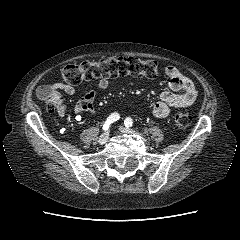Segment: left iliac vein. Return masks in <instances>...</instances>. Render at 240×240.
<instances>
[{
  "label": "left iliac vein",
  "instance_id": "1",
  "mask_svg": "<svg viewBox=\"0 0 240 240\" xmlns=\"http://www.w3.org/2000/svg\"><path fill=\"white\" fill-rule=\"evenodd\" d=\"M119 130H120L122 133H127V134L135 133V131H133L132 129L127 128V127H125V126H119Z\"/></svg>",
  "mask_w": 240,
  "mask_h": 240
}]
</instances>
